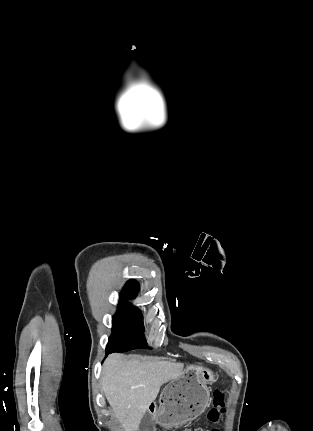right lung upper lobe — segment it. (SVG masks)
Segmentation results:
<instances>
[{
    "mask_svg": "<svg viewBox=\"0 0 313 431\" xmlns=\"http://www.w3.org/2000/svg\"><path fill=\"white\" fill-rule=\"evenodd\" d=\"M138 290L139 284L135 280L128 281L120 294L121 301H126L128 298H135Z\"/></svg>",
    "mask_w": 313,
    "mask_h": 431,
    "instance_id": "obj_1",
    "label": "right lung upper lobe"
}]
</instances>
